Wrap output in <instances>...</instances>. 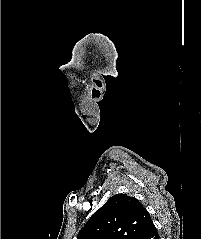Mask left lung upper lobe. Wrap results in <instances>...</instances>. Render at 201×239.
<instances>
[{"label":"left lung upper lobe","instance_id":"left-lung-upper-lobe-1","mask_svg":"<svg viewBox=\"0 0 201 239\" xmlns=\"http://www.w3.org/2000/svg\"><path fill=\"white\" fill-rule=\"evenodd\" d=\"M150 223L148 211L135 197L116 194L91 216L77 239H139Z\"/></svg>","mask_w":201,"mask_h":239}]
</instances>
